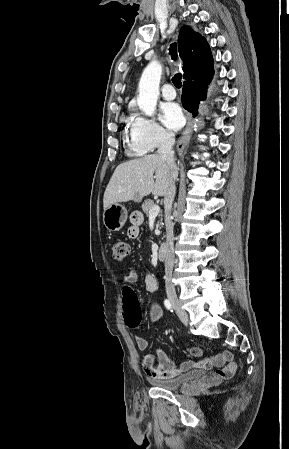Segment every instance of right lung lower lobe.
Instances as JSON below:
<instances>
[{
  "label": "right lung lower lobe",
  "mask_w": 289,
  "mask_h": 449,
  "mask_svg": "<svg viewBox=\"0 0 289 449\" xmlns=\"http://www.w3.org/2000/svg\"><path fill=\"white\" fill-rule=\"evenodd\" d=\"M214 74L213 65L202 77L190 79L184 82L181 101L183 107L192 112L193 117L198 114L199 103L206 98L207 87L204 82L209 83Z\"/></svg>",
  "instance_id": "98d812e1"
}]
</instances>
